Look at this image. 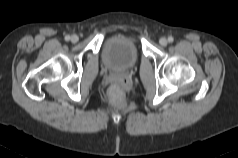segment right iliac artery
<instances>
[{
  "label": "right iliac artery",
  "instance_id": "82829eb1",
  "mask_svg": "<svg viewBox=\"0 0 238 158\" xmlns=\"http://www.w3.org/2000/svg\"><path fill=\"white\" fill-rule=\"evenodd\" d=\"M65 40H66V41H69V40H70V36H69V35H66V36H65Z\"/></svg>",
  "mask_w": 238,
  "mask_h": 158
}]
</instances>
